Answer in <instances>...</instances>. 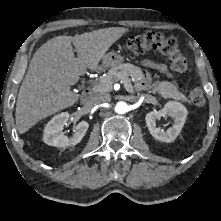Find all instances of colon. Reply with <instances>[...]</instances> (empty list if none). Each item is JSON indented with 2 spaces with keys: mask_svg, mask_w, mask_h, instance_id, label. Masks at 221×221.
I'll return each mask as SVG.
<instances>
[{
  "mask_svg": "<svg viewBox=\"0 0 221 221\" xmlns=\"http://www.w3.org/2000/svg\"><path fill=\"white\" fill-rule=\"evenodd\" d=\"M126 47L134 54H143L146 51H159L168 56L172 69L177 73H184L188 69L187 60L181 54L178 42L173 37H167L161 32L148 31L132 35L126 41ZM188 101L196 106L204 103V95L200 88H191L187 91Z\"/></svg>",
  "mask_w": 221,
  "mask_h": 221,
  "instance_id": "1",
  "label": "colon"
}]
</instances>
